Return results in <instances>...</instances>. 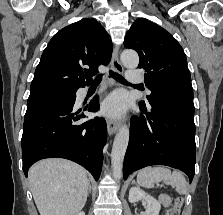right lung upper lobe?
I'll return each instance as SVG.
<instances>
[{"label": "right lung upper lobe", "mask_w": 223, "mask_h": 215, "mask_svg": "<svg viewBox=\"0 0 223 215\" xmlns=\"http://www.w3.org/2000/svg\"><path fill=\"white\" fill-rule=\"evenodd\" d=\"M111 55L110 36L99 22L87 18L73 23L48 43L35 70L30 94L76 92L89 85L98 66L107 65Z\"/></svg>", "instance_id": "right-lung-upper-lobe-1"}]
</instances>
